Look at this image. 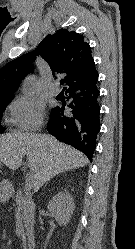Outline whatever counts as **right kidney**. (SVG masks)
Instances as JSON below:
<instances>
[{"mask_svg": "<svg viewBox=\"0 0 135 249\" xmlns=\"http://www.w3.org/2000/svg\"><path fill=\"white\" fill-rule=\"evenodd\" d=\"M47 208L60 226H66L73 214V198L69 192H59L48 203Z\"/></svg>", "mask_w": 135, "mask_h": 249, "instance_id": "right-kidney-1", "label": "right kidney"}]
</instances>
